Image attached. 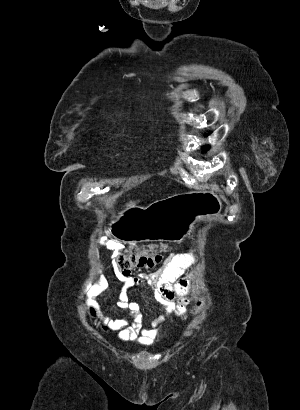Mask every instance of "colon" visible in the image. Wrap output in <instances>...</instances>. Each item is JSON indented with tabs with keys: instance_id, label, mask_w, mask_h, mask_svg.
Returning <instances> with one entry per match:
<instances>
[{
	"instance_id": "1",
	"label": "colon",
	"mask_w": 300,
	"mask_h": 410,
	"mask_svg": "<svg viewBox=\"0 0 300 410\" xmlns=\"http://www.w3.org/2000/svg\"><path fill=\"white\" fill-rule=\"evenodd\" d=\"M163 255L153 249H132L114 257V264L125 276H129L133 271L141 269H152L160 265ZM204 306L202 299H199L194 307V312H199Z\"/></svg>"
}]
</instances>
